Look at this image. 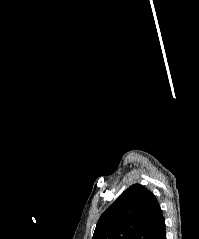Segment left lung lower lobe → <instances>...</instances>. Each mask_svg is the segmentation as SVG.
Here are the masks:
<instances>
[{
    "label": "left lung lower lobe",
    "mask_w": 199,
    "mask_h": 239,
    "mask_svg": "<svg viewBox=\"0 0 199 239\" xmlns=\"http://www.w3.org/2000/svg\"><path fill=\"white\" fill-rule=\"evenodd\" d=\"M150 239H166L164 217H162L156 225L155 230Z\"/></svg>",
    "instance_id": "1"
}]
</instances>
